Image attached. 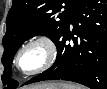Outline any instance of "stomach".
Returning <instances> with one entry per match:
<instances>
[{"label":"stomach","mask_w":107,"mask_h":89,"mask_svg":"<svg viewBox=\"0 0 107 89\" xmlns=\"http://www.w3.org/2000/svg\"><path fill=\"white\" fill-rule=\"evenodd\" d=\"M29 89H37V88H29ZM58 89H62V87H59Z\"/></svg>","instance_id":"1"}]
</instances>
